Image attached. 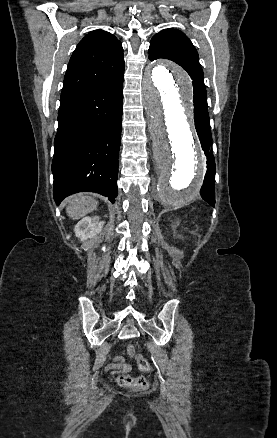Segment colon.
Segmentation results:
<instances>
[{"instance_id": "1", "label": "colon", "mask_w": 277, "mask_h": 438, "mask_svg": "<svg viewBox=\"0 0 277 438\" xmlns=\"http://www.w3.org/2000/svg\"><path fill=\"white\" fill-rule=\"evenodd\" d=\"M128 355L130 358L136 359L141 370L150 371V364L140 353L132 347H128ZM116 382L123 388L130 391H139L143 389H156V380H146L144 377H134L128 374H121L116 377Z\"/></svg>"}]
</instances>
